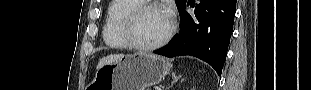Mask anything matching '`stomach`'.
Instances as JSON below:
<instances>
[{"label":"stomach","instance_id":"obj_1","mask_svg":"<svg viewBox=\"0 0 311 90\" xmlns=\"http://www.w3.org/2000/svg\"><path fill=\"white\" fill-rule=\"evenodd\" d=\"M172 64L147 52L126 55L99 68L88 90H145L169 74Z\"/></svg>","mask_w":311,"mask_h":90}]
</instances>
